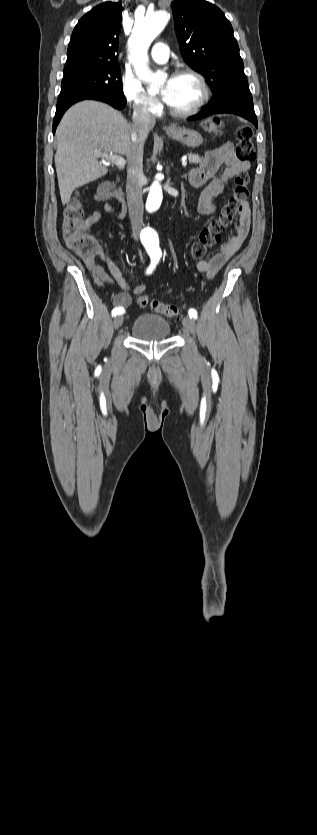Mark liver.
<instances>
[{
  "instance_id": "obj_1",
  "label": "liver",
  "mask_w": 317,
  "mask_h": 835,
  "mask_svg": "<svg viewBox=\"0 0 317 835\" xmlns=\"http://www.w3.org/2000/svg\"><path fill=\"white\" fill-rule=\"evenodd\" d=\"M131 130L121 112L102 102L81 101L66 111L55 134V166L63 205L75 188L108 172L98 161L101 150L104 154H130Z\"/></svg>"
}]
</instances>
